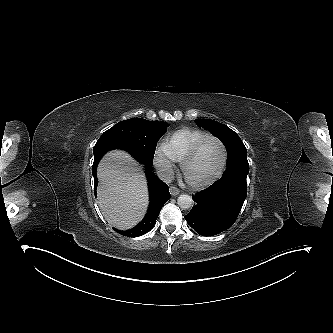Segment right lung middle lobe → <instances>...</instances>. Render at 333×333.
Masks as SVG:
<instances>
[{
	"mask_svg": "<svg viewBox=\"0 0 333 333\" xmlns=\"http://www.w3.org/2000/svg\"><path fill=\"white\" fill-rule=\"evenodd\" d=\"M166 122H152L141 118L121 121L107 130L127 139L149 162L153 161L159 138L167 131Z\"/></svg>",
	"mask_w": 333,
	"mask_h": 333,
	"instance_id": "dd1d6c3e",
	"label": "right lung middle lobe"
}]
</instances>
